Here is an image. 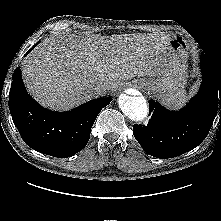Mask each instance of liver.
<instances>
[{
    "mask_svg": "<svg viewBox=\"0 0 221 221\" xmlns=\"http://www.w3.org/2000/svg\"><path fill=\"white\" fill-rule=\"evenodd\" d=\"M169 36L132 34L49 37L23 61L27 91L44 107L69 110L97 95L104 81L116 90L135 76H157L170 60Z\"/></svg>",
    "mask_w": 221,
    "mask_h": 221,
    "instance_id": "obj_1",
    "label": "liver"
}]
</instances>
